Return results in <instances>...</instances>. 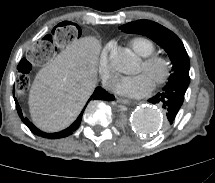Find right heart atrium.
Returning a JSON list of instances; mask_svg holds the SVG:
<instances>
[{"label":"right heart atrium","mask_w":215,"mask_h":183,"mask_svg":"<svg viewBox=\"0 0 215 183\" xmlns=\"http://www.w3.org/2000/svg\"><path fill=\"white\" fill-rule=\"evenodd\" d=\"M99 70L102 80L108 89H113L117 79L110 60H109V47H105L100 56Z\"/></svg>","instance_id":"d8ad5b80"}]
</instances>
